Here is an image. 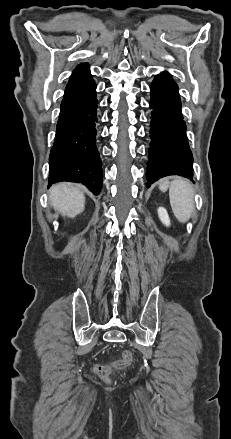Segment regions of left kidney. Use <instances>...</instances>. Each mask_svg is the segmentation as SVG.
I'll use <instances>...</instances> for the list:
<instances>
[{
    "label": "left kidney",
    "instance_id": "5707ae66",
    "mask_svg": "<svg viewBox=\"0 0 231 439\" xmlns=\"http://www.w3.org/2000/svg\"><path fill=\"white\" fill-rule=\"evenodd\" d=\"M158 216L164 225H166V226L170 225L169 215H168L165 208H163V207L158 208Z\"/></svg>",
    "mask_w": 231,
    "mask_h": 439
}]
</instances>
